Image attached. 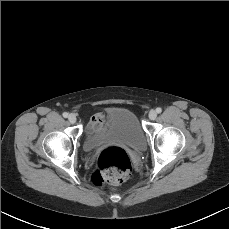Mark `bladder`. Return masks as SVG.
<instances>
[{
  "instance_id": "1",
  "label": "bladder",
  "mask_w": 229,
  "mask_h": 229,
  "mask_svg": "<svg viewBox=\"0 0 229 229\" xmlns=\"http://www.w3.org/2000/svg\"><path fill=\"white\" fill-rule=\"evenodd\" d=\"M111 142L123 144L136 153L146 150V134L132 111L125 108H111L104 129L86 130L84 149L90 152Z\"/></svg>"
}]
</instances>
